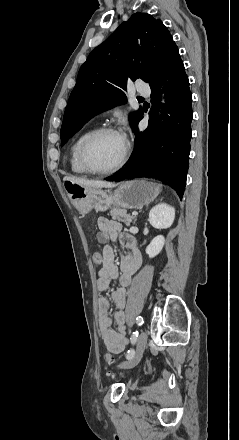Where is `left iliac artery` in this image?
Returning a JSON list of instances; mask_svg holds the SVG:
<instances>
[{
    "label": "left iliac artery",
    "instance_id": "1",
    "mask_svg": "<svg viewBox=\"0 0 239 440\" xmlns=\"http://www.w3.org/2000/svg\"><path fill=\"white\" fill-rule=\"evenodd\" d=\"M143 322H144V321H143V318H142L141 316H138V317L136 318V323H137L138 326H141V325L143 324ZM137 338H138V331H135V332H133V334H132V336H131V338H130L131 343H132L133 345L136 343ZM134 355H135V350H134V349H130V350H128V353H127V355H126V358H127L128 360H130V359H132V358L134 357Z\"/></svg>",
    "mask_w": 239,
    "mask_h": 440
}]
</instances>
